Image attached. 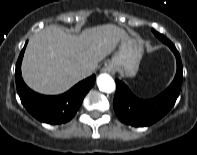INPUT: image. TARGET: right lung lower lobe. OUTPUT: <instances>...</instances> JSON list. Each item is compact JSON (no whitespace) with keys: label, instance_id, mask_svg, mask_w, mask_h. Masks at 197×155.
<instances>
[{"label":"right lung lower lobe","instance_id":"right-lung-lower-lobe-1","mask_svg":"<svg viewBox=\"0 0 197 155\" xmlns=\"http://www.w3.org/2000/svg\"><path fill=\"white\" fill-rule=\"evenodd\" d=\"M25 44L16 63V87L22 104L27 111L41 122L61 124L71 120L81 106L85 95L95 83V75L79 82L69 91L57 96H46L32 91L24 83L21 75V62Z\"/></svg>","mask_w":197,"mask_h":155}]
</instances>
